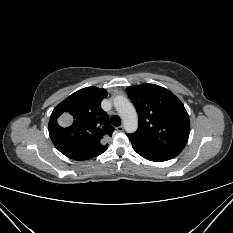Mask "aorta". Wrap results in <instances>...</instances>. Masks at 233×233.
Here are the masks:
<instances>
[{
  "instance_id": "762f6f07",
  "label": "aorta",
  "mask_w": 233,
  "mask_h": 233,
  "mask_svg": "<svg viewBox=\"0 0 233 233\" xmlns=\"http://www.w3.org/2000/svg\"><path fill=\"white\" fill-rule=\"evenodd\" d=\"M113 103L123 121L126 132H135L138 128V116L132 103L120 95L114 98Z\"/></svg>"
}]
</instances>
